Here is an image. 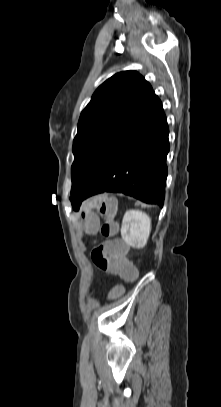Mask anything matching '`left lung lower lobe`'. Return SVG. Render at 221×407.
I'll list each match as a JSON object with an SVG mask.
<instances>
[{"mask_svg":"<svg viewBox=\"0 0 221 407\" xmlns=\"http://www.w3.org/2000/svg\"><path fill=\"white\" fill-rule=\"evenodd\" d=\"M169 129L162 103L153 93L120 134L86 185L71 200L75 211L86 198L121 192L163 206Z\"/></svg>","mask_w":221,"mask_h":407,"instance_id":"0a47b994","label":"left lung lower lobe"}]
</instances>
